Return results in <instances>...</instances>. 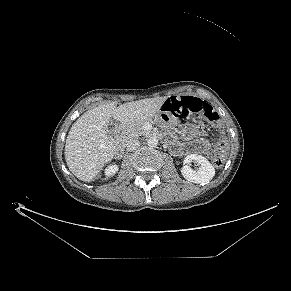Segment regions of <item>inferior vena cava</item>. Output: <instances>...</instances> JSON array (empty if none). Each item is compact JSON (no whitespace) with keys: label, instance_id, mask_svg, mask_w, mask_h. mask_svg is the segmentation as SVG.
I'll return each mask as SVG.
<instances>
[{"label":"inferior vena cava","instance_id":"602c4592","mask_svg":"<svg viewBox=\"0 0 291 291\" xmlns=\"http://www.w3.org/2000/svg\"><path fill=\"white\" fill-rule=\"evenodd\" d=\"M140 146V142L136 138H130L126 141V150L134 151Z\"/></svg>","mask_w":291,"mask_h":291}]
</instances>
